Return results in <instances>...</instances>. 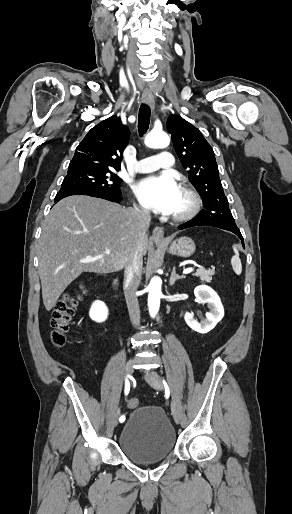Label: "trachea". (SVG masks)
I'll list each match as a JSON object with an SVG mask.
<instances>
[{
    "label": "trachea",
    "instance_id": "obj_1",
    "mask_svg": "<svg viewBox=\"0 0 292 514\" xmlns=\"http://www.w3.org/2000/svg\"><path fill=\"white\" fill-rule=\"evenodd\" d=\"M151 110L148 105L144 103L140 106L138 115V132L142 137L148 130L150 124Z\"/></svg>",
    "mask_w": 292,
    "mask_h": 514
}]
</instances>
